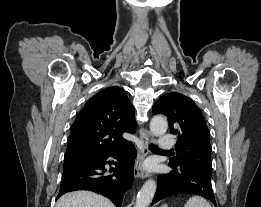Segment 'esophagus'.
Here are the masks:
<instances>
[{
	"label": "esophagus",
	"instance_id": "34e87169",
	"mask_svg": "<svg viewBox=\"0 0 261 207\" xmlns=\"http://www.w3.org/2000/svg\"><path fill=\"white\" fill-rule=\"evenodd\" d=\"M140 138L143 143V153L139 156L134 165L135 178H147L149 174L142 168L143 159L150 153L149 144L153 141V135L146 129L142 128Z\"/></svg>",
	"mask_w": 261,
	"mask_h": 207
}]
</instances>
